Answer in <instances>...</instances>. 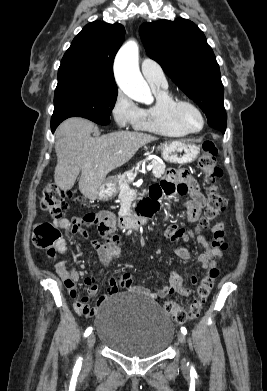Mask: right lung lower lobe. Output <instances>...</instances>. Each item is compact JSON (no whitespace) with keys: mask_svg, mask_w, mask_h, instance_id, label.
I'll return each mask as SVG.
<instances>
[{"mask_svg":"<svg viewBox=\"0 0 267 391\" xmlns=\"http://www.w3.org/2000/svg\"><path fill=\"white\" fill-rule=\"evenodd\" d=\"M60 123H61V122H59V123H51V130H52V132L55 131V129L57 128V126H58Z\"/></svg>","mask_w":267,"mask_h":391,"instance_id":"obj_1","label":"right lung lower lobe"}]
</instances>
